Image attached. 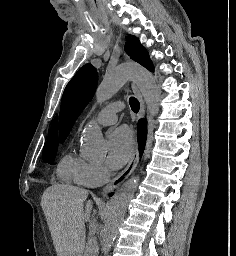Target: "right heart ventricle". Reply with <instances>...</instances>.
<instances>
[{"label":"right heart ventricle","instance_id":"obj_1","mask_svg":"<svg viewBox=\"0 0 236 256\" xmlns=\"http://www.w3.org/2000/svg\"><path fill=\"white\" fill-rule=\"evenodd\" d=\"M84 162L85 161L83 160H74L69 155L63 157L57 167L58 178L66 183H76V173L78 167Z\"/></svg>","mask_w":236,"mask_h":256}]
</instances>
